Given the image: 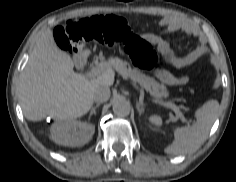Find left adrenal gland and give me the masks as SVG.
I'll list each match as a JSON object with an SVG mask.
<instances>
[{
  "label": "left adrenal gland",
  "instance_id": "a2214340",
  "mask_svg": "<svg viewBox=\"0 0 236 182\" xmlns=\"http://www.w3.org/2000/svg\"><path fill=\"white\" fill-rule=\"evenodd\" d=\"M136 107H137V110H138V112H139V115H141L142 112H143V110H144V104H143V103H140V102H137Z\"/></svg>",
  "mask_w": 236,
  "mask_h": 182
}]
</instances>
